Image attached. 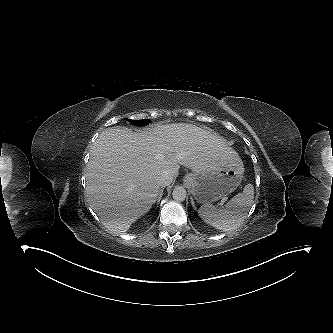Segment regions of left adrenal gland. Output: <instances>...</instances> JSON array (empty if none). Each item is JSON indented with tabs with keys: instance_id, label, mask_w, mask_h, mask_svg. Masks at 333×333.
I'll list each match as a JSON object with an SVG mask.
<instances>
[{
	"instance_id": "obj_1",
	"label": "left adrenal gland",
	"mask_w": 333,
	"mask_h": 333,
	"mask_svg": "<svg viewBox=\"0 0 333 333\" xmlns=\"http://www.w3.org/2000/svg\"><path fill=\"white\" fill-rule=\"evenodd\" d=\"M191 204H192L193 208L196 209L195 202H194L193 198H191Z\"/></svg>"
}]
</instances>
